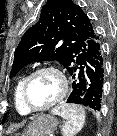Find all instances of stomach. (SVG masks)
<instances>
[{"mask_svg":"<svg viewBox=\"0 0 117 136\" xmlns=\"http://www.w3.org/2000/svg\"><path fill=\"white\" fill-rule=\"evenodd\" d=\"M57 125L55 117L43 114L29 123L21 136H49L56 130Z\"/></svg>","mask_w":117,"mask_h":136,"instance_id":"0dacf381","label":"stomach"}]
</instances>
